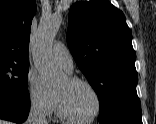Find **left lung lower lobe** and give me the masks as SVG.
<instances>
[{
  "label": "left lung lower lobe",
  "mask_w": 156,
  "mask_h": 124,
  "mask_svg": "<svg viewBox=\"0 0 156 124\" xmlns=\"http://www.w3.org/2000/svg\"><path fill=\"white\" fill-rule=\"evenodd\" d=\"M101 124H142V119H135L125 116H116L99 120Z\"/></svg>",
  "instance_id": "left-lung-lower-lobe-1"
}]
</instances>
